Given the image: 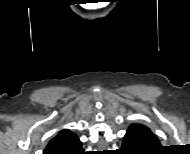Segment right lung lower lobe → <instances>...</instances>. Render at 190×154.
<instances>
[{
	"mask_svg": "<svg viewBox=\"0 0 190 154\" xmlns=\"http://www.w3.org/2000/svg\"><path fill=\"white\" fill-rule=\"evenodd\" d=\"M83 153V150H80L79 152H78V154H82Z\"/></svg>",
	"mask_w": 190,
	"mask_h": 154,
	"instance_id": "1",
	"label": "right lung lower lobe"
}]
</instances>
